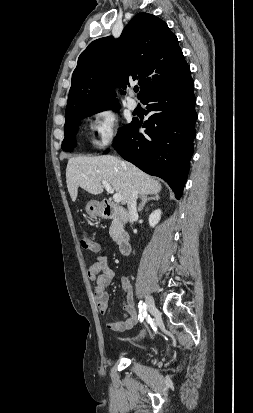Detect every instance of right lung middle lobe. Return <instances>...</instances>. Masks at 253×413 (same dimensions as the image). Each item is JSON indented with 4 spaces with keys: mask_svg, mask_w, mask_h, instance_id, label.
<instances>
[{
    "mask_svg": "<svg viewBox=\"0 0 253 413\" xmlns=\"http://www.w3.org/2000/svg\"><path fill=\"white\" fill-rule=\"evenodd\" d=\"M113 108H116V110H118V107H113ZM103 110H106V109H103ZM103 110L85 111L65 121V126H64L65 138L62 143V149L64 151H72L73 148L76 146V134H77V131L80 125V121L87 116L101 112ZM127 127L119 129L116 139L127 129Z\"/></svg>",
    "mask_w": 253,
    "mask_h": 413,
    "instance_id": "right-lung-middle-lobe-1",
    "label": "right lung middle lobe"
}]
</instances>
